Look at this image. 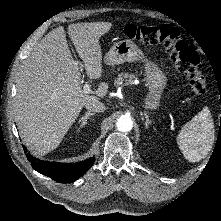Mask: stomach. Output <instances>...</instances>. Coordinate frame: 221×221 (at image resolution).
<instances>
[{
    "label": "stomach",
    "mask_w": 221,
    "mask_h": 221,
    "mask_svg": "<svg viewBox=\"0 0 221 221\" xmlns=\"http://www.w3.org/2000/svg\"><path fill=\"white\" fill-rule=\"evenodd\" d=\"M142 50L130 39L115 43L106 53L104 61L107 65H119L124 62H135L145 60ZM147 95L144 106L147 109L155 110L160 106V100L167 84L166 74L154 63L145 61Z\"/></svg>",
    "instance_id": "stomach-1"
}]
</instances>
